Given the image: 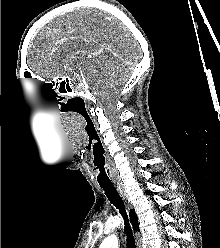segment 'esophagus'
I'll use <instances>...</instances> for the list:
<instances>
[{
	"instance_id": "obj_1",
	"label": "esophagus",
	"mask_w": 220,
	"mask_h": 248,
	"mask_svg": "<svg viewBox=\"0 0 220 248\" xmlns=\"http://www.w3.org/2000/svg\"><path fill=\"white\" fill-rule=\"evenodd\" d=\"M118 191L120 192V194L123 196V191L122 188L120 186H118Z\"/></svg>"
}]
</instances>
